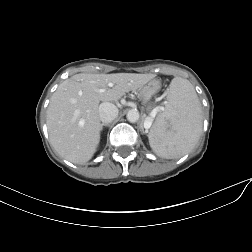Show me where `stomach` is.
I'll return each instance as SVG.
<instances>
[{
	"label": "stomach",
	"mask_w": 252,
	"mask_h": 252,
	"mask_svg": "<svg viewBox=\"0 0 252 252\" xmlns=\"http://www.w3.org/2000/svg\"><path fill=\"white\" fill-rule=\"evenodd\" d=\"M160 89L161 82L159 80H150L147 84L139 89V97L144 103H147Z\"/></svg>",
	"instance_id": "stomach-1"
}]
</instances>
